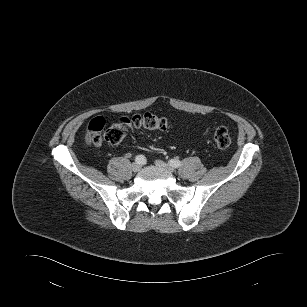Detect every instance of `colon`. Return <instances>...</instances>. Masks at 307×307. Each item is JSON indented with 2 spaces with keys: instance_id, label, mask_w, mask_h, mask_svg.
<instances>
[{
  "instance_id": "1",
  "label": "colon",
  "mask_w": 307,
  "mask_h": 307,
  "mask_svg": "<svg viewBox=\"0 0 307 307\" xmlns=\"http://www.w3.org/2000/svg\"><path fill=\"white\" fill-rule=\"evenodd\" d=\"M104 127L105 121L102 117H95L89 122L88 139L91 143L98 145L104 139L110 145H118L132 127L164 131L169 128V122L167 119L152 113H144L132 117H121L103 133ZM213 139L220 149H226L231 144L230 134L223 126L215 128Z\"/></svg>"
}]
</instances>
